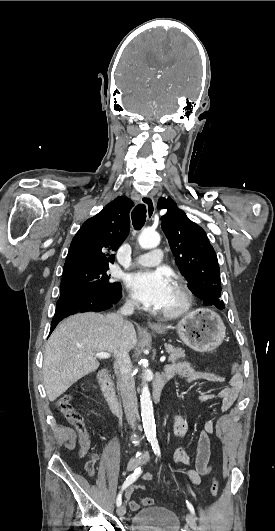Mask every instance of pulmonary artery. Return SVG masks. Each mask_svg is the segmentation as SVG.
Returning <instances> with one entry per match:
<instances>
[{"label":"pulmonary artery","mask_w":275,"mask_h":531,"mask_svg":"<svg viewBox=\"0 0 275 531\" xmlns=\"http://www.w3.org/2000/svg\"><path fill=\"white\" fill-rule=\"evenodd\" d=\"M152 252V258H150L151 252H147L146 256H136L133 260V264L148 268L159 263L160 259L163 257V252L161 251L160 247H153Z\"/></svg>","instance_id":"obj_1"}]
</instances>
